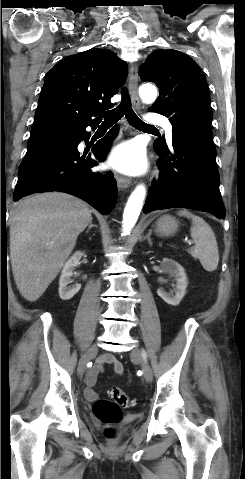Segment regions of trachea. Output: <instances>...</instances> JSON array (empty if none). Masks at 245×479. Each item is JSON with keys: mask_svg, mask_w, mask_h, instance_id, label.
<instances>
[{"mask_svg": "<svg viewBox=\"0 0 245 479\" xmlns=\"http://www.w3.org/2000/svg\"><path fill=\"white\" fill-rule=\"evenodd\" d=\"M127 118L130 125L138 129H153L155 128L152 125L146 124L143 122L133 111L131 108V101L128 93L123 91L122 93V100L118 107L108 111L105 113V119L102 124L106 125H113L116 123L121 117Z\"/></svg>", "mask_w": 245, "mask_h": 479, "instance_id": "obj_1", "label": "trachea"}]
</instances>
